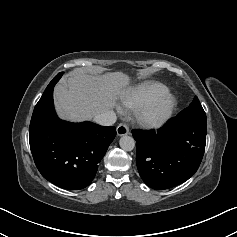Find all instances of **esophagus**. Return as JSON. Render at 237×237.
Listing matches in <instances>:
<instances>
[{"label": "esophagus", "instance_id": "1", "mask_svg": "<svg viewBox=\"0 0 237 237\" xmlns=\"http://www.w3.org/2000/svg\"><path fill=\"white\" fill-rule=\"evenodd\" d=\"M116 131L118 136H123L129 133V128L126 124L122 123L117 126Z\"/></svg>", "mask_w": 237, "mask_h": 237}]
</instances>
